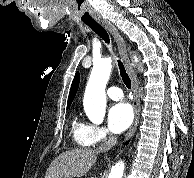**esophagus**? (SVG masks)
I'll list each match as a JSON object with an SVG mask.
<instances>
[{
  "mask_svg": "<svg viewBox=\"0 0 194 178\" xmlns=\"http://www.w3.org/2000/svg\"><path fill=\"white\" fill-rule=\"evenodd\" d=\"M103 27H105L114 37L118 50L120 53V56L122 58L123 63L125 64V67L130 75L131 81H132V92H133V108H134V121L132 123L131 128L129 129L127 133V137L131 136L135 130L138 127L139 120H140V99L138 95V81L136 77L135 70L130 62L129 56H128V49L127 45L123 39V37L118 32L117 28L108 21H101L99 22Z\"/></svg>",
  "mask_w": 194,
  "mask_h": 178,
  "instance_id": "obj_1",
  "label": "esophagus"
}]
</instances>
